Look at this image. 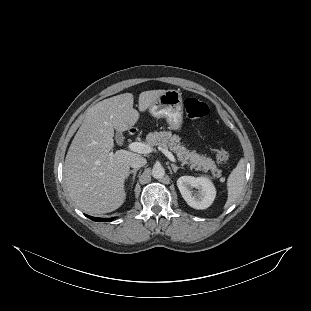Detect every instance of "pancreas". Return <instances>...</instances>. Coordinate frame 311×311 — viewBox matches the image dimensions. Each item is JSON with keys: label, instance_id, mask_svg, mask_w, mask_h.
<instances>
[{"label": "pancreas", "instance_id": "cf45deb5", "mask_svg": "<svg viewBox=\"0 0 311 311\" xmlns=\"http://www.w3.org/2000/svg\"><path fill=\"white\" fill-rule=\"evenodd\" d=\"M147 142L153 146H160L162 149H171L178 159L187 164L190 169H196L201 172H211L213 179H219L222 176V170L217 167L215 161L207 154H198L193 149H188L181 137L172 132H153L147 138Z\"/></svg>", "mask_w": 311, "mask_h": 311}]
</instances>
